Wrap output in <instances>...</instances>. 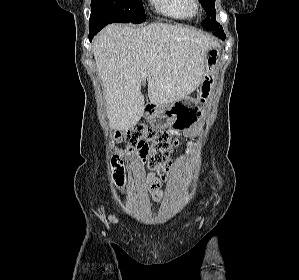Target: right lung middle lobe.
I'll list each match as a JSON object with an SVG mask.
<instances>
[{"label":"right lung middle lobe","mask_w":299,"mask_h":280,"mask_svg":"<svg viewBox=\"0 0 299 280\" xmlns=\"http://www.w3.org/2000/svg\"><path fill=\"white\" fill-rule=\"evenodd\" d=\"M101 6L114 11L126 23H141L146 20L141 0H91V7Z\"/></svg>","instance_id":"dd1d6c3e"}]
</instances>
